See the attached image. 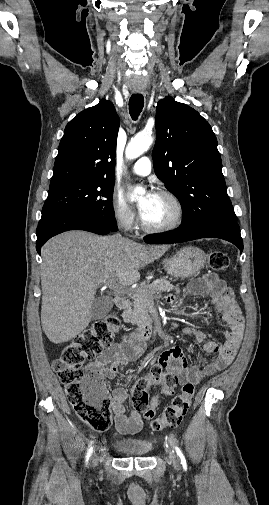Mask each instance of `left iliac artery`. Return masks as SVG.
Instances as JSON below:
<instances>
[{
    "mask_svg": "<svg viewBox=\"0 0 269 505\" xmlns=\"http://www.w3.org/2000/svg\"><path fill=\"white\" fill-rule=\"evenodd\" d=\"M175 450H176V453L178 455V457L180 458L181 460V465L183 467L184 470H187V463H186V459L181 451V449L178 447V446H175Z\"/></svg>",
    "mask_w": 269,
    "mask_h": 505,
    "instance_id": "1",
    "label": "left iliac artery"
}]
</instances>
